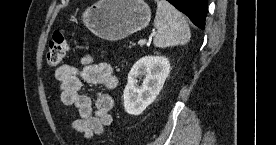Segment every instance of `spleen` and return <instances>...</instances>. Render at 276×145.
I'll return each instance as SVG.
<instances>
[{"label":"spleen","mask_w":276,"mask_h":145,"mask_svg":"<svg viewBox=\"0 0 276 145\" xmlns=\"http://www.w3.org/2000/svg\"><path fill=\"white\" fill-rule=\"evenodd\" d=\"M154 26L158 33L154 45L159 48L185 45L190 39V28L184 16L168 1L157 0Z\"/></svg>","instance_id":"obj_1"}]
</instances>
